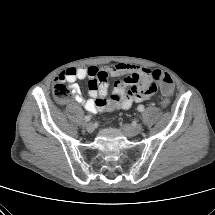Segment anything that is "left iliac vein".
I'll list each match as a JSON object with an SVG mask.
<instances>
[{"label":"left iliac vein","instance_id":"left-iliac-vein-1","mask_svg":"<svg viewBox=\"0 0 215 215\" xmlns=\"http://www.w3.org/2000/svg\"><path fill=\"white\" fill-rule=\"evenodd\" d=\"M123 131L127 136H135L143 130L142 124H136L134 126L125 124L122 126Z\"/></svg>","mask_w":215,"mask_h":215}]
</instances>
